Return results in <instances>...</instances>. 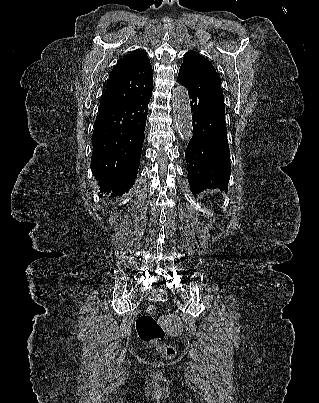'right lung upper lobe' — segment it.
Wrapping results in <instances>:
<instances>
[{
	"label": "right lung upper lobe",
	"mask_w": 319,
	"mask_h": 403,
	"mask_svg": "<svg viewBox=\"0 0 319 403\" xmlns=\"http://www.w3.org/2000/svg\"><path fill=\"white\" fill-rule=\"evenodd\" d=\"M153 73L147 53L136 50L123 57L113 68L99 111L120 107L152 94Z\"/></svg>",
	"instance_id": "right-lung-upper-lobe-1"
}]
</instances>
